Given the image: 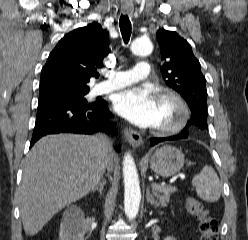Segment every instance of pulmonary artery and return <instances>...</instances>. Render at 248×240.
<instances>
[{
	"label": "pulmonary artery",
	"mask_w": 248,
	"mask_h": 240,
	"mask_svg": "<svg viewBox=\"0 0 248 240\" xmlns=\"http://www.w3.org/2000/svg\"><path fill=\"white\" fill-rule=\"evenodd\" d=\"M150 74V66L147 61H139L133 69L127 71H110L107 79L95 85L93 95H100L120 89L135 82L147 79Z\"/></svg>",
	"instance_id": "obj_1"
}]
</instances>
